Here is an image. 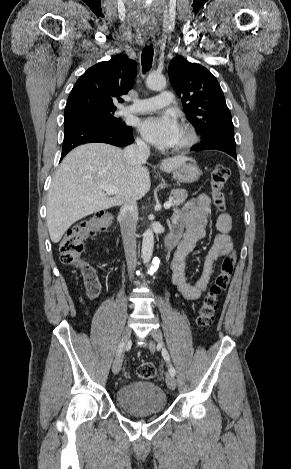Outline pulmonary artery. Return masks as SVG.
<instances>
[{"instance_id":"1","label":"pulmonary artery","mask_w":291,"mask_h":469,"mask_svg":"<svg viewBox=\"0 0 291 469\" xmlns=\"http://www.w3.org/2000/svg\"><path fill=\"white\" fill-rule=\"evenodd\" d=\"M173 101V95L169 91H162L157 96L139 99L130 106L124 108V113H146L163 107L170 106Z\"/></svg>"}]
</instances>
